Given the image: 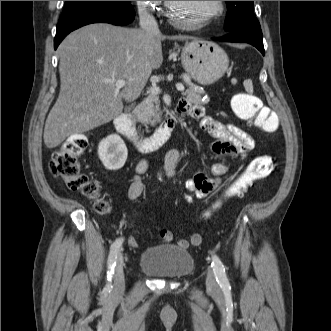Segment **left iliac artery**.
Wrapping results in <instances>:
<instances>
[{
    "instance_id": "obj_1",
    "label": "left iliac artery",
    "mask_w": 331,
    "mask_h": 331,
    "mask_svg": "<svg viewBox=\"0 0 331 331\" xmlns=\"http://www.w3.org/2000/svg\"><path fill=\"white\" fill-rule=\"evenodd\" d=\"M212 264L211 267L214 270L215 276H216V281L218 282V284L220 285V287L224 290H227L230 288V284L228 281V278L226 276V272H225V267L223 265V263L221 262V260L219 259V257H217L216 255H214L212 257Z\"/></svg>"
}]
</instances>
